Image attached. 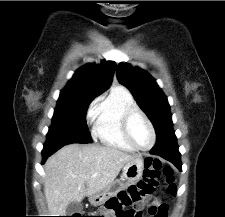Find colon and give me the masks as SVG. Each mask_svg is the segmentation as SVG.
Instances as JSON below:
<instances>
[{
  "label": "colon",
  "mask_w": 225,
  "mask_h": 217,
  "mask_svg": "<svg viewBox=\"0 0 225 217\" xmlns=\"http://www.w3.org/2000/svg\"><path fill=\"white\" fill-rule=\"evenodd\" d=\"M143 179L137 185L130 186L127 190L121 191L116 197L110 199L105 207L102 216L92 217H141L140 211L134 206L145 198H150L160 183H163L166 193L175 195L173 171L170 167L153 158H146ZM168 207L161 204L158 207H149L150 217H167ZM82 217V216H74Z\"/></svg>",
  "instance_id": "1"
}]
</instances>
